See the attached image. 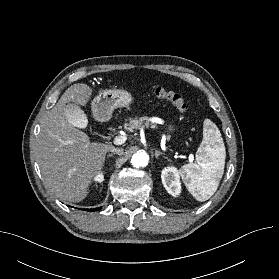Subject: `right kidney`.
<instances>
[{"instance_id": "1", "label": "right kidney", "mask_w": 279, "mask_h": 279, "mask_svg": "<svg viewBox=\"0 0 279 279\" xmlns=\"http://www.w3.org/2000/svg\"><path fill=\"white\" fill-rule=\"evenodd\" d=\"M94 180H95L96 182H99V183L103 182V181H104V175H103V173H98V174L95 176Z\"/></svg>"}]
</instances>
